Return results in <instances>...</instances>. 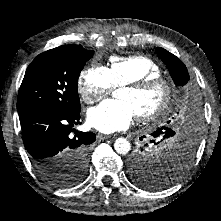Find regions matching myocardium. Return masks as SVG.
I'll use <instances>...</instances> for the list:
<instances>
[{
	"label": "myocardium",
	"mask_w": 221,
	"mask_h": 221,
	"mask_svg": "<svg viewBox=\"0 0 221 221\" xmlns=\"http://www.w3.org/2000/svg\"><path fill=\"white\" fill-rule=\"evenodd\" d=\"M157 86H161L165 92V97L162 104L150 113L136 115L139 121L151 122L163 117L173 104L175 97V86L171 80L162 76L147 77L142 80L123 85V88L137 93L145 92Z\"/></svg>",
	"instance_id": "1"
}]
</instances>
